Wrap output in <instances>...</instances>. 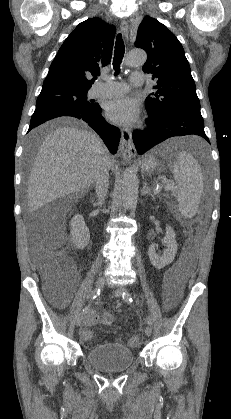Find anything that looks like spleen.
Instances as JSON below:
<instances>
[{
  "mask_svg": "<svg viewBox=\"0 0 231 419\" xmlns=\"http://www.w3.org/2000/svg\"><path fill=\"white\" fill-rule=\"evenodd\" d=\"M173 175L177 183L179 211L186 218H191L198 210L203 191L201 168L189 152L181 151L173 165Z\"/></svg>",
  "mask_w": 231,
  "mask_h": 419,
  "instance_id": "3e777b00",
  "label": "spleen"
}]
</instances>
